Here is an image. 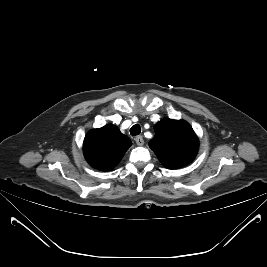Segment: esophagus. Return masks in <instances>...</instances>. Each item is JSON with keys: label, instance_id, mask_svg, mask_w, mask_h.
Returning <instances> with one entry per match:
<instances>
[{"label": "esophagus", "instance_id": "esophagus-1", "mask_svg": "<svg viewBox=\"0 0 267 267\" xmlns=\"http://www.w3.org/2000/svg\"><path fill=\"white\" fill-rule=\"evenodd\" d=\"M135 142H136V144L138 145V146H142L143 144H144V140H143V137L142 136H136L135 137Z\"/></svg>", "mask_w": 267, "mask_h": 267}]
</instances>
